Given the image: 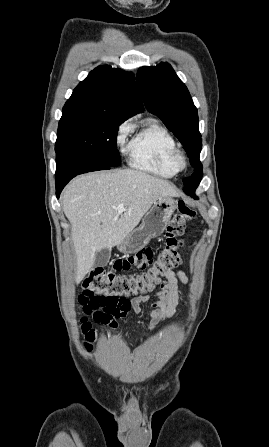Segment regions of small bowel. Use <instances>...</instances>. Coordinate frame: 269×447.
<instances>
[{
    "instance_id": "1",
    "label": "small bowel",
    "mask_w": 269,
    "mask_h": 447,
    "mask_svg": "<svg viewBox=\"0 0 269 447\" xmlns=\"http://www.w3.org/2000/svg\"><path fill=\"white\" fill-rule=\"evenodd\" d=\"M179 282L188 283L186 274L180 270L168 271L161 289L156 294V298L152 299L146 295L138 296L130 301V307L136 313H141V305L149 303L152 310L148 313V317L151 322V329H154L158 323L169 319L176 312L179 302Z\"/></svg>"
}]
</instances>
